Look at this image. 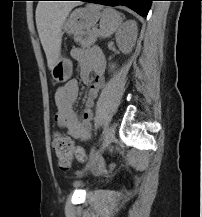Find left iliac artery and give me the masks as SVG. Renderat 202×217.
Segmentation results:
<instances>
[{"instance_id": "44dca946", "label": "left iliac artery", "mask_w": 202, "mask_h": 217, "mask_svg": "<svg viewBox=\"0 0 202 217\" xmlns=\"http://www.w3.org/2000/svg\"><path fill=\"white\" fill-rule=\"evenodd\" d=\"M104 135H105V129L103 130L102 134H101V137L99 139V141H101L103 138H104Z\"/></svg>"}]
</instances>
